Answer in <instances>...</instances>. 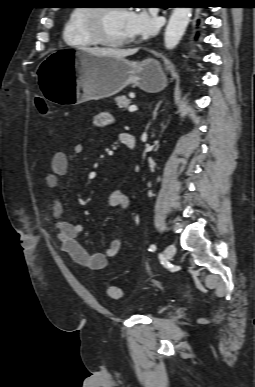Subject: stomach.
Masks as SVG:
<instances>
[{"mask_svg":"<svg viewBox=\"0 0 255 387\" xmlns=\"http://www.w3.org/2000/svg\"><path fill=\"white\" fill-rule=\"evenodd\" d=\"M45 59H37L34 81L51 104L77 108L78 103L114 95L128 84L156 93L167 85L160 63L97 56L75 46H58Z\"/></svg>","mask_w":255,"mask_h":387,"instance_id":"obj_1","label":"stomach"}]
</instances>
